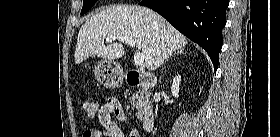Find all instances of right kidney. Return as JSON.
Masks as SVG:
<instances>
[{"instance_id": "ca27d5eb", "label": "right kidney", "mask_w": 280, "mask_h": 137, "mask_svg": "<svg viewBox=\"0 0 280 137\" xmlns=\"http://www.w3.org/2000/svg\"><path fill=\"white\" fill-rule=\"evenodd\" d=\"M180 81H181V76L178 75L173 79V83L171 86L172 95L176 98L179 96L178 93H179Z\"/></svg>"}]
</instances>
